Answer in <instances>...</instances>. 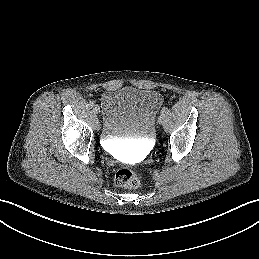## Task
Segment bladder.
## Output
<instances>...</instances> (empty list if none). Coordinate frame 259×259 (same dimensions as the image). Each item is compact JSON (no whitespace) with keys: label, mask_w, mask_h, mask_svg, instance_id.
<instances>
[{"label":"bladder","mask_w":259,"mask_h":259,"mask_svg":"<svg viewBox=\"0 0 259 259\" xmlns=\"http://www.w3.org/2000/svg\"><path fill=\"white\" fill-rule=\"evenodd\" d=\"M162 98L152 89L125 87L102 97L101 136L105 141L150 142Z\"/></svg>","instance_id":"obj_1"}]
</instances>
